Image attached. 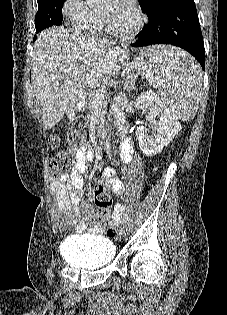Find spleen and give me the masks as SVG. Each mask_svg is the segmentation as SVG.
I'll return each mask as SVG.
<instances>
[{
	"label": "spleen",
	"mask_w": 227,
	"mask_h": 315,
	"mask_svg": "<svg viewBox=\"0 0 227 315\" xmlns=\"http://www.w3.org/2000/svg\"><path fill=\"white\" fill-rule=\"evenodd\" d=\"M143 55L152 62L161 78L159 95L164 105L182 121L193 119L202 93L200 66L172 47H150Z\"/></svg>",
	"instance_id": "1"
}]
</instances>
